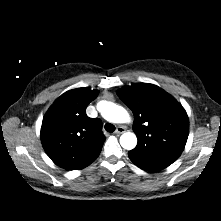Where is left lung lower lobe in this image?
I'll return each instance as SVG.
<instances>
[{"mask_svg": "<svg viewBox=\"0 0 221 221\" xmlns=\"http://www.w3.org/2000/svg\"><path fill=\"white\" fill-rule=\"evenodd\" d=\"M128 156L139 168L150 172L165 169L178 158L172 155L140 153L132 150L128 152Z\"/></svg>", "mask_w": 221, "mask_h": 221, "instance_id": "left-lung-lower-lobe-1", "label": "left lung lower lobe"}]
</instances>
